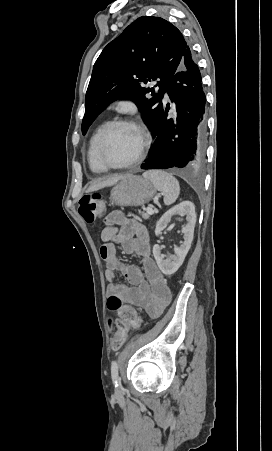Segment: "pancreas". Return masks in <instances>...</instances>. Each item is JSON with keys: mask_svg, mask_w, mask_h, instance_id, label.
<instances>
[{"mask_svg": "<svg viewBox=\"0 0 272 451\" xmlns=\"http://www.w3.org/2000/svg\"><path fill=\"white\" fill-rule=\"evenodd\" d=\"M139 214H141L142 218H144V220H149L150 216L149 214H145V212H139Z\"/></svg>", "mask_w": 272, "mask_h": 451, "instance_id": "cf45deb5", "label": "pancreas"}]
</instances>
